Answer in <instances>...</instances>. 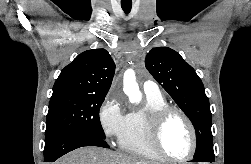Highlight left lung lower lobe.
<instances>
[{"mask_svg":"<svg viewBox=\"0 0 251 164\" xmlns=\"http://www.w3.org/2000/svg\"><path fill=\"white\" fill-rule=\"evenodd\" d=\"M191 162H214V159L197 158L193 159Z\"/></svg>","mask_w":251,"mask_h":164,"instance_id":"0a47b994","label":"left lung lower lobe"}]
</instances>
